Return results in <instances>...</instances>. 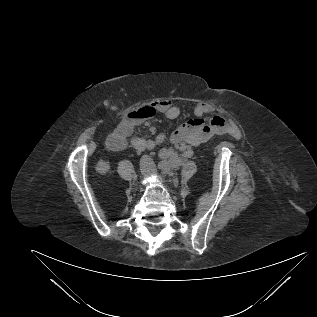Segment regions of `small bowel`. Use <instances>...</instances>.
I'll return each instance as SVG.
<instances>
[{"label":"small bowel","instance_id":"1","mask_svg":"<svg viewBox=\"0 0 317 317\" xmlns=\"http://www.w3.org/2000/svg\"><path fill=\"white\" fill-rule=\"evenodd\" d=\"M156 107L168 119H176L180 116V108L169 99H161L154 102ZM211 107L206 103H197L192 109L193 117L186 123L178 126L171 135V142L179 151L181 159H189L193 156V147L199 146L217 134L230 132L235 133L236 127L220 116L206 117ZM136 123L124 120L117 129L107 138V146L111 151H122L126 148L127 140L130 139L132 146L138 151L150 150L161 144L166 136L159 134L155 139L146 140L135 136ZM117 139L116 144L113 140ZM160 156L164 160L174 158L176 154L171 148H162ZM179 162V160H174Z\"/></svg>","mask_w":317,"mask_h":317}]
</instances>
